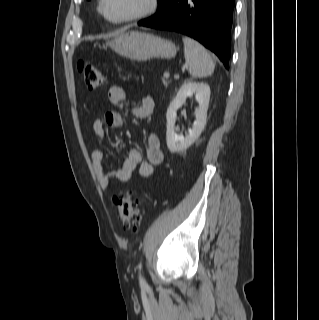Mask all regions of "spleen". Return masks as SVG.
I'll return each mask as SVG.
<instances>
[{
  "instance_id": "spleen-1",
  "label": "spleen",
  "mask_w": 319,
  "mask_h": 320,
  "mask_svg": "<svg viewBox=\"0 0 319 320\" xmlns=\"http://www.w3.org/2000/svg\"><path fill=\"white\" fill-rule=\"evenodd\" d=\"M184 56L193 77H207L214 72V63L207 50L195 40L183 37Z\"/></svg>"
}]
</instances>
